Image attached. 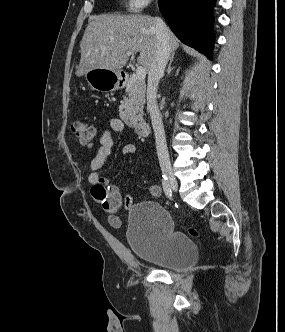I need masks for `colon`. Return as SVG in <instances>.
<instances>
[{"mask_svg": "<svg viewBox=\"0 0 285 332\" xmlns=\"http://www.w3.org/2000/svg\"><path fill=\"white\" fill-rule=\"evenodd\" d=\"M71 127L74 135L81 144L86 146L93 145L97 137V130L93 125L84 121H75ZM189 231L193 236L197 235V231L195 229H190Z\"/></svg>", "mask_w": 285, "mask_h": 332, "instance_id": "1", "label": "colon"}]
</instances>
